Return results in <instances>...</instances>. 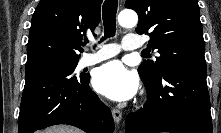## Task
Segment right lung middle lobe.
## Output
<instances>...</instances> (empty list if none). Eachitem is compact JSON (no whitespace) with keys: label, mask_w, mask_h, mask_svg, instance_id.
<instances>
[{"label":"right lung middle lobe","mask_w":221,"mask_h":133,"mask_svg":"<svg viewBox=\"0 0 221 133\" xmlns=\"http://www.w3.org/2000/svg\"><path fill=\"white\" fill-rule=\"evenodd\" d=\"M50 66H59L61 67L62 69L70 72V73H73L76 66H77V62H73V63H64V64H56V65H50ZM48 66V67H50Z\"/></svg>","instance_id":"obj_1"}]
</instances>
